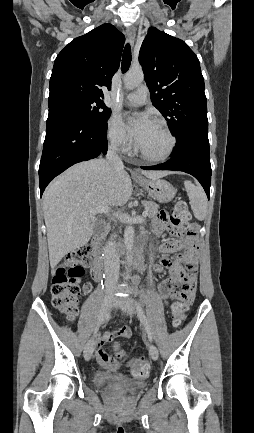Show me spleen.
<instances>
[{"instance_id":"obj_1","label":"spleen","mask_w":254,"mask_h":433,"mask_svg":"<svg viewBox=\"0 0 254 433\" xmlns=\"http://www.w3.org/2000/svg\"><path fill=\"white\" fill-rule=\"evenodd\" d=\"M184 186L195 218L200 221L204 220L207 214V198L204 190L191 181H185Z\"/></svg>"}]
</instances>
